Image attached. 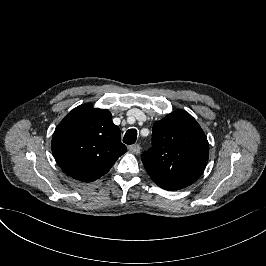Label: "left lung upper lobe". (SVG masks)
I'll use <instances>...</instances> for the list:
<instances>
[{
    "label": "left lung upper lobe",
    "mask_w": 266,
    "mask_h": 266,
    "mask_svg": "<svg viewBox=\"0 0 266 266\" xmlns=\"http://www.w3.org/2000/svg\"><path fill=\"white\" fill-rule=\"evenodd\" d=\"M209 156L207 138L196 120L176 110L153 125L152 147L142 162L156 184L182 189L203 173Z\"/></svg>",
    "instance_id": "obj_1"
}]
</instances>
